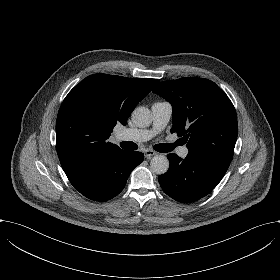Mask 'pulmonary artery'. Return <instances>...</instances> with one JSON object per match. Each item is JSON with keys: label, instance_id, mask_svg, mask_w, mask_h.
I'll list each match as a JSON object with an SVG mask.
<instances>
[{"label": "pulmonary artery", "instance_id": "obj_1", "mask_svg": "<svg viewBox=\"0 0 280 280\" xmlns=\"http://www.w3.org/2000/svg\"><path fill=\"white\" fill-rule=\"evenodd\" d=\"M152 128L151 129H125L123 135L136 142H145L162 132L170 121L173 108L167 101H157L152 104ZM189 153L187 146L177 149V154L185 158Z\"/></svg>", "mask_w": 280, "mask_h": 280}]
</instances>
